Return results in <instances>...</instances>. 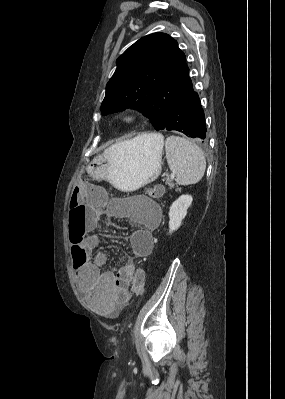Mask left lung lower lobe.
<instances>
[{
    "label": "left lung lower lobe",
    "instance_id": "1",
    "mask_svg": "<svg viewBox=\"0 0 285 399\" xmlns=\"http://www.w3.org/2000/svg\"><path fill=\"white\" fill-rule=\"evenodd\" d=\"M162 130L179 131L201 140L206 138L204 111L191 80L174 99Z\"/></svg>",
    "mask_w": 285,
    "mask_h": 399
}]
</instances>
